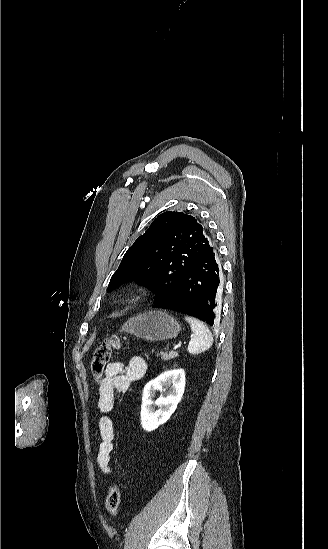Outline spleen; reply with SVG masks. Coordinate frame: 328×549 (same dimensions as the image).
I'll list each match as a JSON object with an SVG mask.
<instances>
[{
    "mask_svg": "<svg viewBox=\"0 0 328 549\" xmlns=\"http://www.w3.org/2000/svg\"><path fill=\"white\" fill-rule=\"evenodd\" d=\"M185 321L189 323L193 337L188 345V353L190 355H200L204 351H208L213 345V337L206 325L199 321V319H194V317H184Z\"/></svg>",
    "mask_w": 328,
    "mask_h": 549,
    "instance_id": "1",
    "label": "spleen"
}]
</instances>
